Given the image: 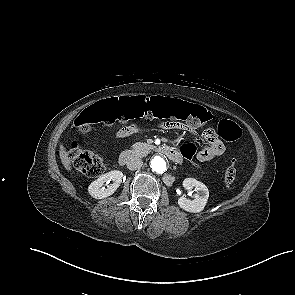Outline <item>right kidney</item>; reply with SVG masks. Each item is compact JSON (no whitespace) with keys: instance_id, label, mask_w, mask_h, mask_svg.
Here are the masks:
<instances>
[{"instance_id":"1","label":"right kidney","mask_w":295,"mask_h":295,"mask_svg":"<svg viewBox=\"0 0 295 295\" xmlns=\"http://www.w3.org/2000/svg\"><path fill=\"white\" fill-rule=\"evenodd\" d=\"M122 178L123 173L119 170L105 173L89 185L88 192L95 199L106 198L116 191L122 182ZM111 181L112 183L109 184ZM105 183L107 188L103 186Z\"/></svg>"}]
</instances>
